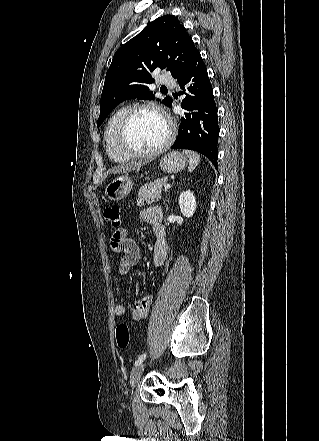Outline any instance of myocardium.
<instances>
[{
  "label": "myocardium",
  "instance_id": "myocardium-1",
  "mask_svg": "<svg viewBox=\"0 0 319 441\" xmlns=\"http://www.w3.org/2000/svg\"><path fill=\"white\" fill-rule=\"evenodd\" d=\"M149 110L157 113L165 122L167 126V136L164 142L157 148L150 151H138L132 148L126 140V133L133 117L140 111ZM175 124L171 117L166 113L164 109L153 103H141L135 104L128 108L123 118L121 119L117 130V143L119 148L127 155L133 158H147L157 156L165 152L172 144L175 138Z\"/></svg>",
  "mask_w": 319,
  "mask_h": 441
}]
</instances>
